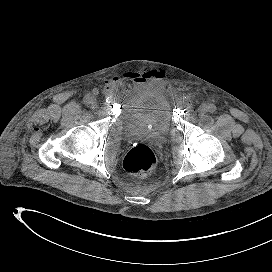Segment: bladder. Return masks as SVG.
Returning <instances> with one entry per match:
<instances>
[{"mask_svg":"<svg viewBox=\"0 0 272 272\" xmlns=\"http://www.w3.org/2000/svg\"><path fill=\"white\" fill-rule=\"evenodd\" d=\"M121 122L126 137L159 142L166 139L172 125L167 106L148 100L127 104Z\"/></svg>","mask_w":272,"mask_h":272,"instance_id":"31cf9c89","label":"bladder"}]
</instances>
